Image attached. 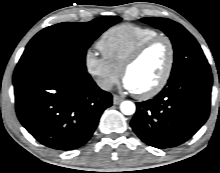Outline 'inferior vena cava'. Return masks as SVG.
Returning a JSON list of instances; mask_svg holds the SVG:
<instances>
[{
	"label": "inferior vena cava",
	"mask_w": 220,
	"mask_h": 173,
	"mask_svg": "<svg viewBox=\"0 0 220 173\" xmlns=\"http://www.w3.org/2000/svg\"><path fill=\"white\" fill-rule=\"evenodd\" d=\"M97 84H98V86H99L101 89H103V90H105V91L111 90V88H112V86H113L112 82L109 81V80H106V79L99 80V81L97 82Z\"/></svg>",
	"instance_id": "obj_1"
}]
</instances>
